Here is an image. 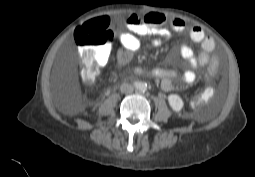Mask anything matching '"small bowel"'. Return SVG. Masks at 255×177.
<instances>
[{"label":"small bowel","instance_id":"obj_1","mask_svg":"<svg viewBox=\"0 0 255 177\" xmlns=\"http://www.w3.org/2000/svg\"><path fill=\"white\" fill-rule=\"evenodd\" d=\"M128 31L119 35L121 48L117 51V62L121 66L127 65L133 58L134 54L141 48V36L152 37L151 44L155 47L160 46L163 41L170 36V29L175 32H183L188 29L190 38L200 43L201 52L196 55L193 49L187 45H181L177 51L171 53L172 57L180 56L189 64V69L184 71L181 76L184 85L193 83L196 78V70L200 66L209 64L208 73L219 65V58L213 54L215 42L212 37L207 36L204 30L197 25L188 28L185 20L175 17L167 18L160 12L148 11L141 15L129 14L126 16ZM170 28V29H169ZM78 32L83 31L79 27ZM111 46H107L96 52V58L100 67L105 66L110 59ZM138 74H149L161 80V88L164 91H170L174 88L173 79L178 76V72L172 69L153 68L145 70L137 68ZM183 86L180 87L182 89Z\"/></svg>","mask_w":255,"mask_h":177}]
</instances>
